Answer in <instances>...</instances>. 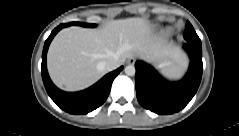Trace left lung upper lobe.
I'll return each instance as SVG.
<instances>
[{
  "mask_svg": "<svg viewBox=\"0 0 239 136\" xmlns=\"http://www.w3.org/2000/svg\"><path fill=\"white\" fill-rule=\"evenodd\" d=\"M183 37L187 42L201 45L200 38L196 34L193 26L188 21L186 23V29L184 31Z\"/></svg>",
  "mask_w": 239,
  "mask_h": 136,
  "instance_id": "1",
  "label": "left lung upper lobe"
}]
</instances>
